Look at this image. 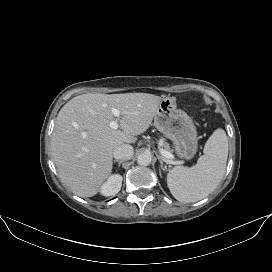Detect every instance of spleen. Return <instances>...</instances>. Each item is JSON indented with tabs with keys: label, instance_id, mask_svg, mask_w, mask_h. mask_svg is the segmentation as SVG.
Returning a JSON list of instances; mask_svg holds the SVG:
<instances>
[{
	"label": "spleen",
	"instance_id": "1",
	"mask_svg": "<svg viewBox=\"0 0 272 272\" xmlns=\"http://www.w3.org/2000/svg\"><path fill=\"white\" fill-rule=\"evenodd\" d=\"M203 152L195 166H176L167 175L168 188L180 202H197L205 198L221 181L228 157V139L223 129L214 131Z\"/></svg>",
	"mask_w": 272,
	"mask_h": 272
}]
</instances>
